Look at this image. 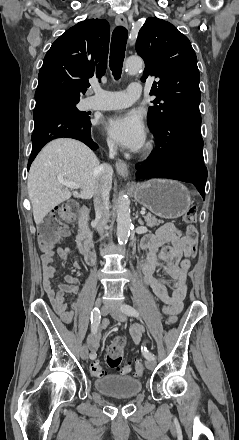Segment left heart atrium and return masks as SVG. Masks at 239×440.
Returning <instances> with one entry per match:
<instances>
[{"label":"left heart atrium","mask_w":239,"mask_h":440,"mask_svg":"<svg viewBox=\"0 0 239 440\" xmlns=\"http://www.w3.org/2000/svg\"><path fill=\"white\" fill-rule=\"evenodd\" d=\"M103 130L109 139L132 151L140 150L146 141V131L139 114L114 113L103 121Z\"/></svg>","instance_id":"39dd6f15"}]
</instances>
